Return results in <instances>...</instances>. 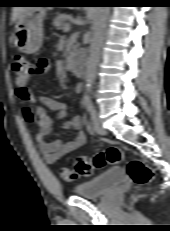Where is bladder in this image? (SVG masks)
I'll return each instance as SVG.
<instances>
[{"label": "bladder", "instance_id": "31cf9c89", "mask_svg": "<svg viewBox=\"0 0 170 231\" xmlns=\"http://www.w3.org/2000/svg\"><path fill=\"white\" fill-rule=\"evenodd\" d=\"M125 179V169L114 167L107 172L77 185L73 191L83 198H99L110 193Z\"/></svg>", "mask_w": 170, "mask_h": 231}]
</instances>
